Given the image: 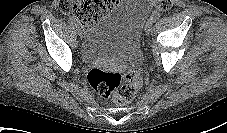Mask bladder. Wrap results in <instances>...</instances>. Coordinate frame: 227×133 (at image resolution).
Segmentation results:
<instances>
[{"label":"bladder","mask_w":227,"mask_h":133,"mask_svg":"<svg viewBox=\"0 0 227 133\" xmlns=\"http://www.w3.org/2000/svg\"><path fill=\"white\" fill-rule=\"evenodd\" d=\"M150 11V0H121L87 29L80 46L81 59L137 64L142 28Z\"/></svg>","instance_id":"1"}]
</instances>
